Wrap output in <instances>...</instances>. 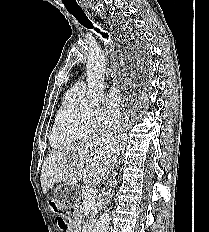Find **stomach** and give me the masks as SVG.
I'll list each match as a JSON object with an SVG mask.
<instances>
[{"label":"stomach","mask_w":209,"mask_h":232,"mask_svg":"<svg viewBox=\"0 0 209 232\" xmlns=\"http://www.w3.org/2000/svg\"><path fill=\"white\" fill-rule=\"evenodd\" d=\"M84 186H59L55 189V198L53 201L59 209H67L76 206L78 199L82 196Z\"/></svg>","instance_id":"obj_1"}]
</instances>
